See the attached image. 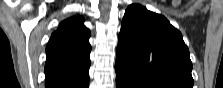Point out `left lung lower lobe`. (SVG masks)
<instances>
[{"label": "left lung lower lobe", "mask_w": 223, "mask_h": 88, "mask_svg": "<svg viewBox=\"0 0 223 88\" xmlns=\"http://www.w3.org/2000/svg\"><path fill=\"white\" fill-rule=\"evenodd\" d=\"M115 70L117 88H149L117 63L115 64Z\"/></svg>", "instance_id": "1"}]
</instances>
